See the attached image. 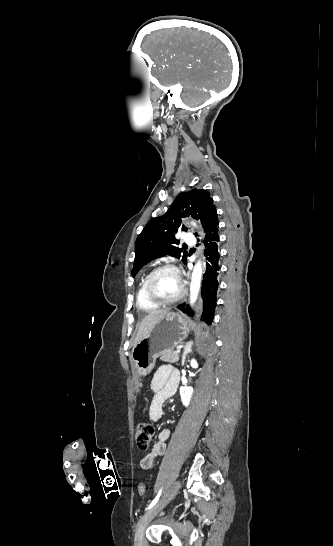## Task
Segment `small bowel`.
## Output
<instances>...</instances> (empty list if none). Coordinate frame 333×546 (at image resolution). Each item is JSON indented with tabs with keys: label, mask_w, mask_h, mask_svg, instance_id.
Segmentation results:
<instances>
[{
	"label": "small bowel",
	"mask_w": 333,
	"mask_h": 546,
	"mask_svg": "<svg viewBox=\"0 0 333 546\" xmlns=\"http://www.w3.org/2000/svg\"><path fill=\"white\" fill-rule=\"evenodd\" d=\"M179 373L169 365L161 366L154 374L150 383L152 400L149 407V418L152 421L159 420L163 415L165 401L177 390L179 385ZM170 438V430L162 429L158 433L157 441L151 451L140 460L143 469H151L157 458L163 456L167 442Z\"/></svg>",
	"instance_id": "obj_1"
}]
</instances>
